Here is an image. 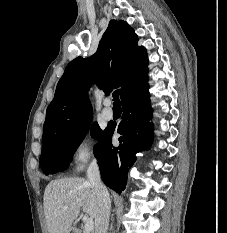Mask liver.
<instances>
[{
  "instance_id": "liver-1",
  "label": "liver",
  "mask_w": 227,
  "mask_h": 233,
  "mask_svg": "<svg viewBox=\"0 0 227 233\" xmlns=\"http://www.w3.org/2000/svg\"><path fill=\"white\" fill-rule=\"evenodd\" d=\"M43 200L48 233H70L81 207L91 218L97 216L98 197L88 179L52 180L45 188Z\"/></svg>"
}]
</instances>
